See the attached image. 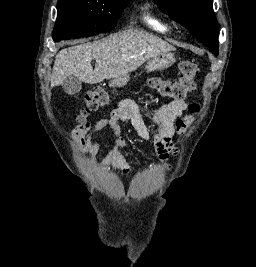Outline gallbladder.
I'll use <instances>...</instances> for the list:
<instances>
[{
    "mask_svg": "<svg viewBox=\"0 0 256 267\" xmlns=\"http://www.w3.org/2000/svg\"><path fill=\"white\" fill-rule=\"evenodd\" d=\"M62 88L69 96H75V94H79L82 82L76 76H67L62 84Z\"/></svg>",
    "mask_w": 256,
    "mask_h": 267,
    "instance_id": "obj_1",
    "label": "gallbladder"
}]
</instances>
